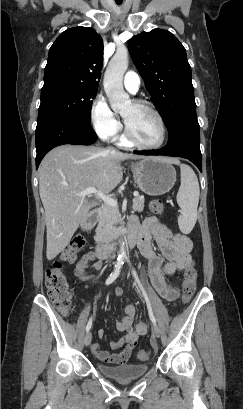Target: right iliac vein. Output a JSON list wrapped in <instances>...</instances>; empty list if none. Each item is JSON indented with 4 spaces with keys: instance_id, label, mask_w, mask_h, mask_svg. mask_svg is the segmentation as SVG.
<instances>
[{
    "instance_id": "right-iliac-vein-1",
    "label": "right iliac vein",
    "mask_w": 243,
    "mask_h": 409,
    "mask_svg": "<svg viewBox=\"0 0 243 409\" xmlns=\"http://www.w3.org/2000/svg\"><path fill=\"white\" fill-rule=\"evenodd\" d=\"M91 340H92V334L91 332H87L84 338V344L85 346H89L91 344Z\"/></svg>"
}]
</instances>
